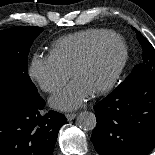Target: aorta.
<instances>
[{"label":"aorta","mask_w":155,"mask_h":155,"mask_svg":"<svg viewBox=\"0 0 155 155\" xmlns=\"http://www.w3.org/2000/svg\"><path fill=\"white\" fill-rule=\"evenodd\" d=\"M95 114L89 111H83L77 116L78 126L86 131L93 130L96 126Z\"/></svg>","instance_id":"1"}]
</instances>
